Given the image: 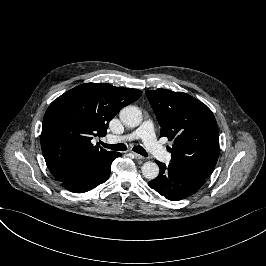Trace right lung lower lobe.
I'll list each match as a JSON object with an SVG mask.
<instances>
[{
    "label": "right lung lower lobe",
    "mask_w": 266,
    "mask_h": 266,
    "mask_svg": "<svg viewBox=\"0 0 266 266\" xmlns=\"http://www.w3.org/2000/svg\"><path fill=\"white\" fill-rule=\"evenodd\" d=\"M119 156L121 154L118 152H109L103 156L82 161L75 165L68 176L60 182L63 187L74 193L92 190L108 180L111 163Z\"/></svg>",
    "instance_id": "obj_1"
}]
</instances>
